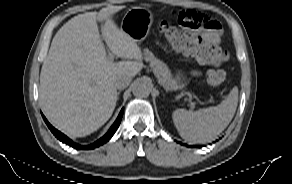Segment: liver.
I'll use <instances>...</instances> for the list:
<instances>
[{
    "label": "liver",
    "instance_id": "liver-1",
    "mask_svg": "<svg viewBox=\"0 0 292 184\" xmlns=\"http://www.w3.org/2000/svg\"><path fill=\"white\" fill-rule=\"evenodd\" d=\"M121 9L109 6L73 17L58 30L43 62L39 86L43 110L71 137H84L104 125L116 106V79L132 78L143 67L141 48L111 19ZM97 21H105L102 34L112 53L129 60L108 59Z\"/></svg>",
    "mask_w": 292,
    "mask_h": 184
}]
</instances>
